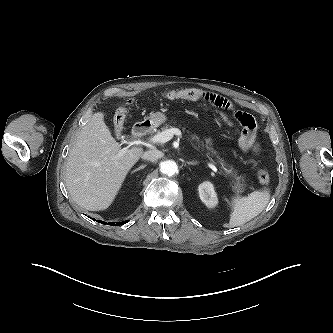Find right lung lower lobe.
I'll list each match as a JSON object with an SVG mask.
<instances>
[{
    "label": "right lung lower lobe",
    "mask_w": 333,
    "mask_h": 333,
    "mask_svg": "<svg viewBox=\"0 0 333 333\" xmlns=\"http://www.w3.org/2000/svg\"><path fill=\"white\" fill-rule=\"evenodd\" d=\"M97 222H101L102 224H107V225H116V226H119V225H123V224H125L127 221H125V222H117V223H115V222H103V221H98L97 220Z\"/></svg>",
    "instance_id": "98d812e1"
}]
</instances>
